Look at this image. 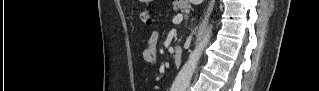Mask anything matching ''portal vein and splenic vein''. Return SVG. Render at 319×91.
Here are the masks:
<instances>
[{
    "label": "portal vein and splenic vein",
    "mask_w": 319,
    "mask_h": 91,
    "mask_svg": "<svg viewBox=\"0 0 319 91\" xmlns=\"http://www.w3.org/2000/svg\"><path fill=\"white\" fill-rule=\"evenodd\" d=\"M182 20H183V15H182V14H177V15L173 18L172 22L175 23V24H177V23H180Z\"/></svg>",
    "instance_id": "1"
}]
</instances>
